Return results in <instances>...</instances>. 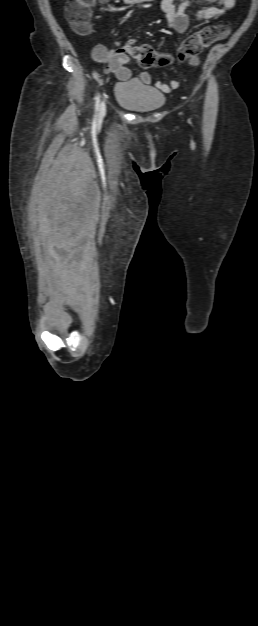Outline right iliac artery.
<instances>
[{"instance_id":"1","label":"right iliac artery","mask_w":258,"mask_h":626,"mask_svg":"<svg viewBox=\"0 0 258 626\" xmlns=\"http://www.w3.org/2000/svg\"><path fill=\"white\" fill-rule=\"evenodd\" d=\"M95 100H96V102H95V111H98V109H99V103H100V97H99V95H98V96H96Z\"/></svg>"}]
</instances>
